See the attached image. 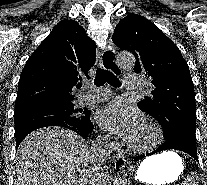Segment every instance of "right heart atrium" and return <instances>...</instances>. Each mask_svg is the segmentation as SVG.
I'll return each mask as SVG.
<instances>
[{
	"label": "right heart atrium",
	"mask_w": 207,
	"mask_h": 185,
	"mask_svg": "<svg viewBox=\"0 0 207 185\" xmlns=\"http://www.w3.org/2000/svg\"><path fill=\"white\" fill-rule=\"evenodd\" d=\"M104 139H105V140H108V137H107V136H105V137H104Z\"/></svg>",
	"instance_id": "1"
}]
</instances>
